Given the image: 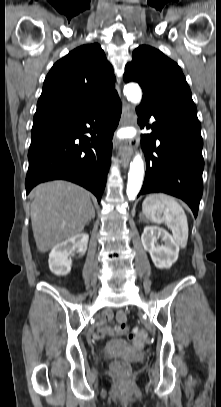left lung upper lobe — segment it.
<instances>
[{"mask_svg": "<svg viewBox=\"0 0 221 407\" xmlns=\"http://www.w3.org/2000/svg\"><path fill=\"white\" fill-rule=\"evenodd\" d=\"M125 82H138L143 90L141 106L162 109L195 104L181 68L161 51L141 45L125 67Z\"/></svg>", "mask_w": 221, "mask_h": 407, "instance_id": "1", "label": "left lung upper lobe"}]
</instances>
